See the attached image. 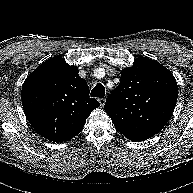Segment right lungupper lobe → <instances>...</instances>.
<instances>
[{
    "mask_svg": "<svg viewBox=\"0 0 193 193\" xmlns=\"http://www.w3.org/2000/svg\"><path fill=\"white\" fill-rule=\"evenodd\" d=\"M24 113L44 138L64 142L76 136L90 113L100 106L89 97L78 68L55 56L39 65L24 81L21 91Z\"/></svg>",
    "mask_w": 193,
    "mask_h": 193,
    "instance_id": "1",
    "label": "right lung upper lobe"
}]
</instances>
